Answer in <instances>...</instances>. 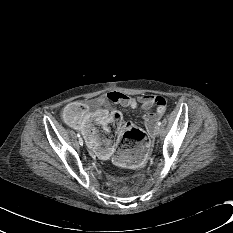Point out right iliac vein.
<instances>
[{
  "instance_id": "63e3f726",
  "label": "right iliac vein",
  "mask_w": 233,
  "mask_h": 233,
  "mask_svg": "<svg viewBox=\"0 0 233 233\" xmlns=\"http://www.w3.org/2000/svg\"><path fill=\"white\" fill-rule=\"evenodd\" d=\"M83 143H84V142H83V139H82V138H79V144H80V145H83Z\"/></svg>"
}]
</instances>
